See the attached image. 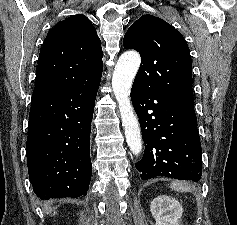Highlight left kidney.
Here are the masks:
<instances>
[{"instance_id":"left-kidney-1","label":"left kidney","mask_w":237,"mask_h":225,"mask_svg":"<svg viewBox=\"0 0 237 225\" xmlns=\"http://www.w3.org/2000/svg\"><path fill=\"white\" fill-rule=\"evenodd\" d=\"M150 211L156 220L155 225H179L182 217V205L169 196H157L150 205Z\"/></svg>"}]
</instances>
